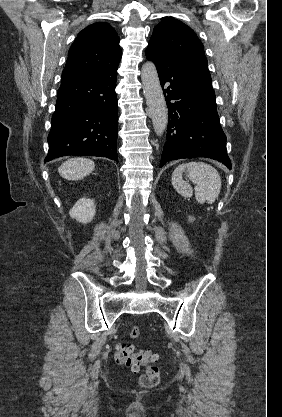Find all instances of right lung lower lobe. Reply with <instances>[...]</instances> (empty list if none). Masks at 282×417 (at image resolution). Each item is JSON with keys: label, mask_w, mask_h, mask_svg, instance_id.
<instances>
[{"label": "right lung lower lobe", "mask_w": 282, "mask_h": 417, "mask_svg": "<svg viewBox=\"0 0 282 417\" xmlns=\"http://www.w3.org/2000/svg\"><path fill=\"white\" fill-rule=\"evenodd\" d=\"M117 67L61 84L45 162L65 155L107 157L118 162Z\"/></svg>", "instance_id": "1"}]
</instances>
